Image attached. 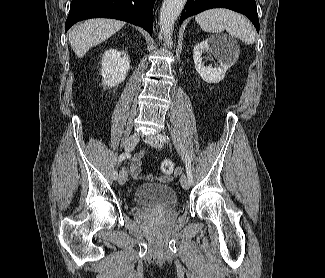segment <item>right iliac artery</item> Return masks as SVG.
Masks as SVG:
<instances>
[{"label":"right iliac artery","mask_w":325,"mask_h":278,"mask_svg":"<svg viewBox=\"0 0 325 278\" xmlns=\"http://www.w3.org/2000/svg\"><path fill=\"white\" fill-rule=\"evenodd\" d=\"M127 156V153H122L119 158H118V162H122ZM113 178L116 180L118 178V173L116 170L113 171Z\"/></svg>","instance_id":"1"}]
</instances>
